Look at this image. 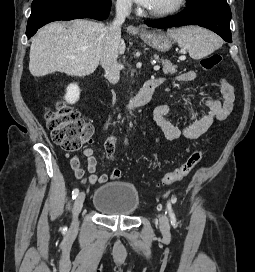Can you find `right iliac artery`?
Here are the masks:
<instances>
[{
  "mask_svg": "<svg viewBox=\"0 0 255 272\" xmlns=\"http://www.w3.org/2000/svg\"><path fill=\"white\" fill-rule=\"evenodd\" d=\"M79 194V189L78 188H75L73 191H72V199H75Z\"/></svg>",
  "mask_w": 255,
  "mask_h": 272,
  "instance_id": "82829eb1",
  "label": "right iliac artery"
}]
</instances>
